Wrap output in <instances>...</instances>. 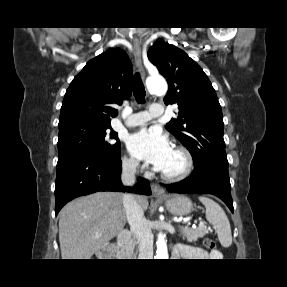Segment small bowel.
Wrapping results in <instances>:
<instances>
[{
  "label": "small bowel",
  "mask_w": 287,
  "mask_h": 287,
  "mask_svg": "<svg viewBox=\"0 0 287 287\" xmlns=\"http://www.w3.org/2000/svg\"><path fill=\"white\" fill-rule=\"evenodd\" d=\"M209 256H218V253H209L202 248L187 245H177L173 250V257L177 259H207Z\"/></svg>",
  "instance_id": "obj_1"
}]
</instances>
